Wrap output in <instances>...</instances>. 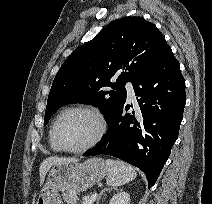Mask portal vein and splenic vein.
Instances as JSON below:
<instances>
[{
  "label": "portal vein and splenic vein",
  "mask_w": 212,
  "mask_h": 204,
  "mask_svg": "<svg viewBox=\"0 0 212 204\" xmlns=\"http://www.w3.org/2000/svg\"><path fill=\"white\" fill-rule=\"evenodd\" d=\"M97 198V194H93L90 198H88L83 204H93Z\"/></svg>",
  "instance_id": "obj_1"
}]
</instances>
